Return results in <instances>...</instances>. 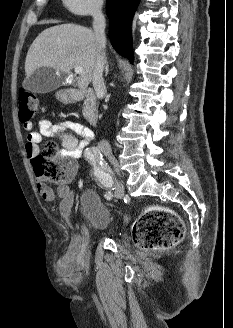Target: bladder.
Returning a JSON list of instances; mask_svg holds the SVG:
<instances>
[{"instance_id": "bladder-1", "label": "bladder", "mask_w": 233, "mask_h": 328, "mask_svg": "<svg viewBox=\"0 0 233 328\" xmlns=\"http://www.w3.org/2000/svg\"><path fill=\"white\" fill-rule=\"evenodd\" d=\"M80 207L89 229L103 232L110 228L113 214L94 190L87 189L82 192Z\"/></svg>"}]
</instances>
